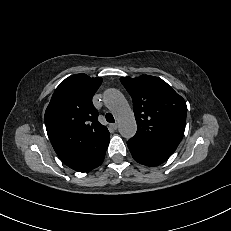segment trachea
Segmentation results:
<instances>
[{
  "label": "trachea",
  "mask_w": 231,
  "mask_h": 231,
  "mask_svg": "<svg viewBox=\"0 0 231 231\" xmlns=\"http://www.w3.org/2000/svg\"><path fill=\"white\" fill-rule=\"evenodd\" d=\"M105 118H106L107 122H110V123L115 122V119H114V117H113V115L111 113H107Z\"/></svg>",
  "instance_id": "obj_1"
}]
</instances>
